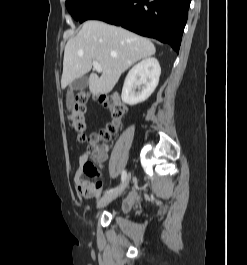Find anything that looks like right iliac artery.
I'll list each match as a JSON object with an SVG mask.
<instances>
[{
	"mask_svg": "<svg viewBox=\"0 0 247 265\" xmlns=\"http://www.w3.org/2000/svg\"><path fill=\"white\" fill-rule=\"evenodd\" d=\"M127 177V172L125 170L122 171V175H121V182L123 183L125 181ZM117 188L115 189H110L108 191H106V193H110V192H113L114 190H116Z\"/></svg>",
	"mask_w": 247,
	"mask_h": 265,
	"instance_id": "82829eb1",
	"label": "right iliac artery"
}]
</instances>
